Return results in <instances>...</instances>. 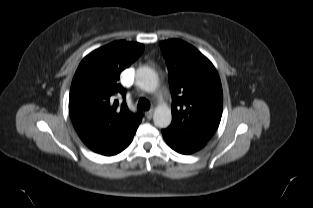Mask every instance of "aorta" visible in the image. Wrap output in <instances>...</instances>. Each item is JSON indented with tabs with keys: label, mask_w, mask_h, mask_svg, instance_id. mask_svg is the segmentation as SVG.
Returning <instances> with one entry per match:
<instances>
[{
	"label": "aorta",
	"mask_w": 313,
	"mask_h": 208,
	"mask_svg": "<svg viewBox=\"0 0 313 208\" xmlns=\"http://www.w3.org/2000/svg\"><path fill=\"white\" fill-rule=\"evenodd\" d=\"M159 78L156 72L149 67H141L136 73L137 85L147 91L153 92L158 87ZM172 120L171 110L166 105L156 107L153 115V122L159 128H166Z\"/></svg>",
	"instance_id": "762f6f07"
}]
</instances>
